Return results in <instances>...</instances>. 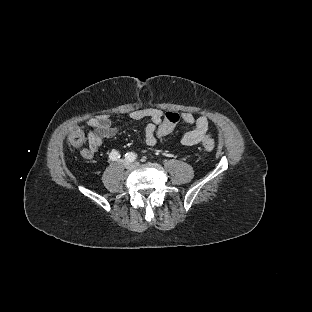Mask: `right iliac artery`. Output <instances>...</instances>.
Segmentation results:
<instances>
[{"mask_svg": "<svg viewBox=\"0 0 312 312\" xmlns=\"http://www.w3.org/2000/svg\"><path fill=\"white\" fill-rule=\"evenodd\" d=\"M110 159H112V160H117V159H119L120 158V155H119V153L117 152V151H115V150H113L111 153H110ZM125 157H126V160H128V161H134L135 160V156H132V155H125Z\"/></svg>", "mask_w": 312, "mask_h": 312, "instance_id": "82829eb1", "label": "right iliac artery"}]
</instances>
